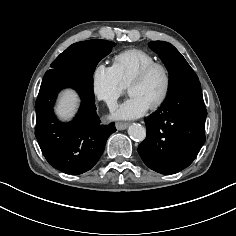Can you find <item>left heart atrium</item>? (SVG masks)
Here are the masks:
<instances>
[{
    "label": "left heart atrium",
    "instance_id": "1",
    "mask_svg": "<svg viewBox=\"0 0 236 236\" xmlns=\"http://www.w3.org/2000/svg\"><path fill=\"white\" fill-rule=\"evenodd\" d=\"M150 108L142 98L131 95L115 111L114 117L119 119H134L144 115Z\"/></svg>",
    "mask_w": 236,
    "mask_h": 236
}]
</instances>
